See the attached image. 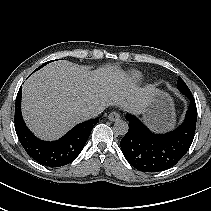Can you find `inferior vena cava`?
I'll list each match as a JSON object with an SVG mask.
<instances>
[{"label":"inferior vena cava","mask_w":211,"mask_h":211,"mask_svg":"<svg viewBox=\"0 0 211 211\" xmlns=\"http://www.w3.org/2000/svg\"><path fill=\"white\" fill-rule=\"evenodd\" d=\"M103 108L102 107H95V108H90L85 112V117L89 118H94L97 117L99 114H101L103 112Z\"/></svg>","instance_id":"obj_1"}]
</instances>
